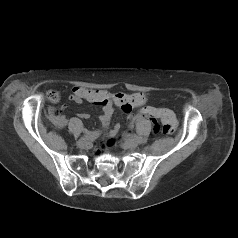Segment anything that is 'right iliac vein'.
Returning a JSON list of instances; mask_svg holds the SVG:
<instances>
[{
    "instance_id": "63e3f726",
    "label": "right iliac vein",
    "mask_w": 238,
    "mask_h": 238,
    "mask_svg": "<svg viewBox=\"0 0 238 238\" xmlns=\"http://www.w3.org/2000/svg\"><path fill=\"white\" fill-rule=\"evenodd\" d=\"M88 144H89V141H88V139H86V138H81V139H79V141L77 142V145H78V147H80V148H86V147L88 146Z\"/></svg>"
}]
</instances>
